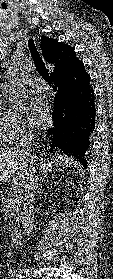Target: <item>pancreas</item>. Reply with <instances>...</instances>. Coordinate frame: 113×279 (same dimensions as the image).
Wrapping results in <instances>:
<instances>
[{
	"mask_svg": "<svg viewBox=\"0 0 113 279\" xmlns=\"http://www.w3.org/2000/svg\"><path fill=\"white\" fill-rule=\"evenodd\" d=\"M0 200L4 207L14 212V216L12 217L13 220L10 221L8 226L9 229L19 225L23 219V213L21 211L23 200L22 193L19 190L6 189L5 193L0 195Z\"/></svg>",
	"mask_w": 113,
	"mask_h": 279,
	"instance_id": "1",
	"label": "pancreas"
}]
</instances>
